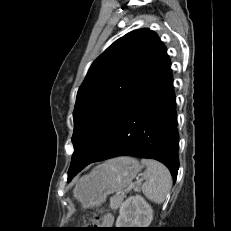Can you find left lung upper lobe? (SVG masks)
<instances>
[{
    "mask_svg": "<svg viewBox=\"0 0 231 231\" xmlns=\"http://www.w3.org/2000/svg\"><path fill=\"white\" fill-rule=\"evenodd\" d=\"M164 48L154 31L139 29L119 38L92 63L77 93L68 174L84 168Z\"/></svg>",
    "mask_w": 231,
    "mask_h": 231,
    "instance_id": "5c2ea615",
    "label": "left lung upper lobe"
}]
</instances>
